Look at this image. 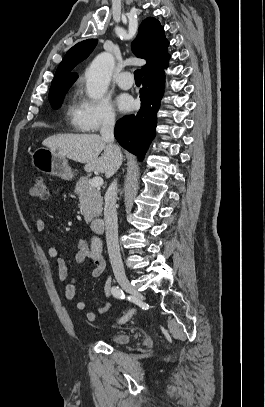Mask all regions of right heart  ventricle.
<instances>
[{"label": "right heart ventricle", "mask_w": 265, "mask_h": 407, "mask_svg": "<svg viewBox=\"0 0 265 407\" xmlns=\"http://www.w3.org/2000/svg\"><path fill=\"white\" fill-rule=\"evenodd\" d=\"M65 115L75 130L84 131L78 122V107L73 102L68 105Z\"/></svg>", "instance_id": "obj_1"}]
</instances>
